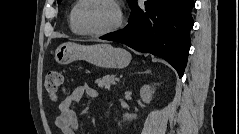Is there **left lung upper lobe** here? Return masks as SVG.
<instances>
[{"instance_id": "obj_1", "label": "left lung upper lobe", "mask_w": 239, "mask_h": 134, "mask_svg": "<svg viewBox=\"0 0 239 134\" xmlns=\"http://www.w3.org/2000/svg\"><path fill=\"white\" fill-rule=\"evenodd\" d=\"M62 0H58V3H60ZM128 2H129V4L131 5L133 2H134V0H128Z\"/></svg>"}]
</instances>
